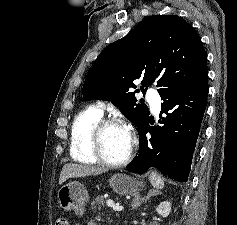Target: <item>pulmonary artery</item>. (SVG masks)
Segmentation results:
<instances>
[{
  "label": "pulmonary artery",
  "instance_id": "1",
  "mask_svg": "<svg viewBox=\"0 0 237 225\" xmlns=\"http://www.w3.org/2000/svg\"><path fill=\"white\" fill-rule=\"evenodd\" d=\"M147 99L155 112H158L160 109V99L158 94L155 91H148ZM102 110V104L98 106Z\"/></svg>",
  "mask_w": 237,
  "mask_h": 225
}]
</instances>
